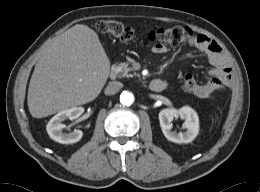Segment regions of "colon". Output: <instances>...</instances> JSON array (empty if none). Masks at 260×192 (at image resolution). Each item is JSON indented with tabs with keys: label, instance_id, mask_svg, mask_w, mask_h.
Returning <instances> with one entry per match:
<instances>
[{
	"label": "colon",
	"instance_id": "1",
	"mask_svg": "<svg viewBox=\"0 0 260 192\" xmlns=\"http://www.w3.org/2000/svg\"><path fill=\"white\" fill-rule=\"evenodd\" d=\"M96 28L103 34L116 37L120 42L127 43L134 37L132 28L116 20H100ZM192 31L188 27L176 26L172 28H160L151 31L148 34V41L153 44H162L170 46L183 45L192 39ZM199 84L192 75H186L183 88L189 93L198 91Z\"/></svg>",
	"mask_w": 260,
	"mask_h": 192
}]
</instances>
